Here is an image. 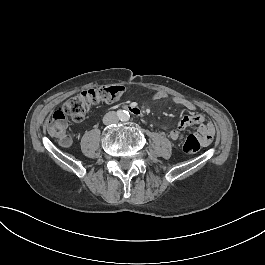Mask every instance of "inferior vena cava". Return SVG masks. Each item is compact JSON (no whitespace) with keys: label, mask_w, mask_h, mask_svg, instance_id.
<instances>
[{"label":"inferior vena cava","mask_w":265,"mask_h":265,"mask_svg":"<svg viewBox=\"0 0 265 265\" xmlns=\"http://www.w3.org/2000/svg\"><path fill=\"white\" fill-rule=\"evenodd\" d=\"M105 119L108 120V124H117L119 122V116L116 112H109Z\"/></svg>","instance_id":"obj_1"}]
</instances>
